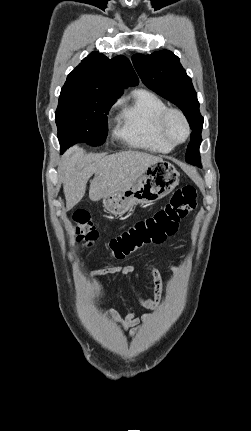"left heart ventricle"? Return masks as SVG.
Wrapping results in <instances>:
<instances>
[{"mask_svg":"<svg viewBox=\"0 0 251 431\" xmlns=\"http://www.w3.org/2000/svg\"><path fill=\"white\" fill-rule=\"evenodd\" d=\"M167 131L174 141H182L186 135L183 121L177 115H171L167 122Z\"/></svg>","mask_w":251,"mask_h":431,"instance_id":"b2bd125f","label":"left heart ventricle"}]
</instances>
